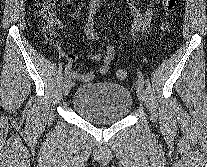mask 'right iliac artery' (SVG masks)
<instances>
[{"label":"right iliac artery","instance_id":"right-iliac-artery-1","mask_svg":"<svg viewBox=\"0 0 207 167\" xmlns=\"http://www.w3.org/2000/svg\"><path fill=\"white\" fill-rule=\"evenodd\" d=\"M71 66H72L71 62H69V63L66 65V68H65V71H64L65 76H67V75L70 73Z\"/></svg>","mask_w":207,"mask_h":167}]
</instances>
